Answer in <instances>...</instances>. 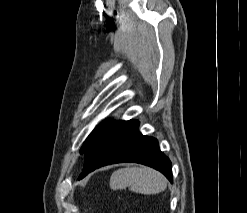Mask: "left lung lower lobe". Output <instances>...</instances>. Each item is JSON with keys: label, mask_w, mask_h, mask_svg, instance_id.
<instances>
[{"label": "left lung lower lobe", "mask_w": 247, "mask_h": 213, "mask_svg": "<svg viewBox=\"0 0 247 213\" xmlns=\"http://www.w3.org/2000/svg\"><path fill=\"white\" fill-rule=\"evenodd\" d=\"M138 127L136 120L115 122L86 150L84 168L78 179L105 165L133 162L160 171L172 183L170 160L160 151L158 141L143 136Z\"/></svg>", "instance_id": "left-lung-lower-lobe-1"}]
</instances>
